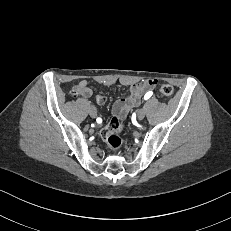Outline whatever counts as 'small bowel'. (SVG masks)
I'll return each instance as SVG.
<instances>
[{
    "label": "small bowel",
    "instance_id": "1",
    "mask_svg": "<svg viewBox=\"0 0 231 231\" xmlns=\"http://www.w3.org/2000/svg\"><path fill=\"white\" fill-rule=\"evenodd\" d=\"M155 81L153 79H146L142 82L133 84L130 86L129 95L124 98L117 100L112 107V114L114 116L124 118L130 109L137 107L140 104L141 97L147 92L151 91L154 86ZM92 90L88 86L86 80L79 81L73 88V95H82L84 97H90L92 95ZM98 104H104L106 102V97L104 95L98 94L95 97Z\"/></svg>",
    "mask_w": 231,
    "mask_h": 231
}]
</instances>
